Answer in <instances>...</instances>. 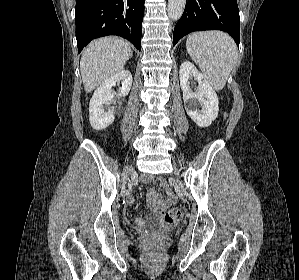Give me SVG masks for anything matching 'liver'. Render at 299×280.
<instances>
[{
	"label": "liver",
	"mask_w": 299,
	"mask_h": 280,
	"mask_svg": "<svg viewBox=\"0 0 299 280\" xmlns=\"http://www.w3.org/2000/svg\"><path fill=\"white\" fill-rule=\"evenodd\" d=\"M131 53L129 43L117 37H104L90 43L82 53L80 61L86 93L120 72Z\"/></svg>",
	"instance_id": "liver-1"
}]
</instances>
